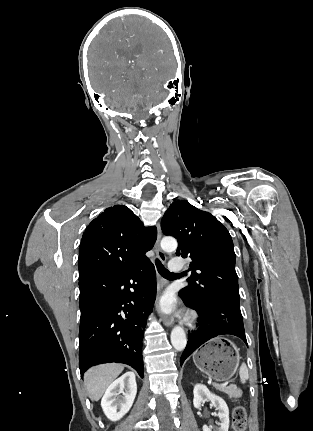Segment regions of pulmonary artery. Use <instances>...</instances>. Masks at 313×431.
Listing matches in <instances>:
<instances>
[{"label": "pulmonary artery", "mask_w": 313, "mask_h": 431, "mask_svg": "<svg viewBox=\"0 0 313 431\" xmlns=\"http://www.w3.org/2000/svg\"><path fill=\"white\" fill-rule=\"evenodd\" d=\"M182 268H183V265H182V262L179 258H173L169 262V269L171 272L179 273V272H181Z\"/></svg>", "instance_id": "1"}]
</instances>
